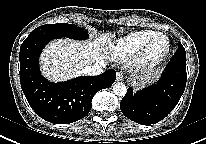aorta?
Returning a JSON list of instances; mask_svg holds the SVG:
<instances>
[{
    "label": "aorta",
    "instance_id": "obj_1",
    "mask_svg": "<svg viewBox=\"0 0 206 144\" xmlns=\"http://www.w3.org/2000/svg\"><path fill=\"white\" fill-rule=\"evenodd\" d=\"M113 92L117 96H125L127 93V87L122 82L115 83L113 86Z\"/></svg>",
    "mask_w": 206,
    "mask_h": 144
}]
</instances>
